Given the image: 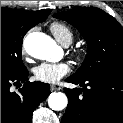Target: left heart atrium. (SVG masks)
Masks as SVG:
<instances>
[{
	"instance_id": "1",
	"label": "left heart atrium",
	"mask_w": 123,
	"mask_h": 123,
	"mask_svg": "<svg viewBox=\"0 0 123 123\" xmlns=\"http://www.w3.org/2000/svg\"><path fill=\"white\" fill-rule=\"evenodd\" d=\"M70 72V66L65 62L49 63L44 62L34 68V77L36 80L54 84Z\"/></svg>"
}]
</instances>
